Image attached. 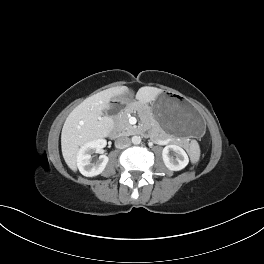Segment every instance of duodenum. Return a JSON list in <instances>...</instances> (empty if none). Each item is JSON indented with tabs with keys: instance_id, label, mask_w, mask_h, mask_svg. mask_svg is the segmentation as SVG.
<instances>
[{
	"instance_id": "410a0bca",
	"label": "duodenum",
	"mask_w": 264,
	"mask_h": 264,
	"mask_svg": "<svg viewBox=\"0 0 264 264\" xmlns=\"http://www.w3.org/2000/svg\"><path fill=\"white\" fill-rule=\"evenodd\" d=\"M120 108L122 107V106H119ZM119 135V132L116 130V129H113L112 131H111V136L112 137H116V136H118Z\"/></svg>"
}]
</instances>
